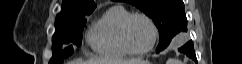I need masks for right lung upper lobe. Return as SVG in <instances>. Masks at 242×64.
I'll return each instance as SVG.
<instances>
[{
    "instance_id": "obj_1",
    "label": "right lung upper lobe",
    "mask_w": 242,
    "mask_h": 64,
    "mask_svg": "<svg viewBox=\"0 0 242 64\" xmlns=\"http://www.w3.org/2000/svg\"><path fill=\"white\" fill-rule=\"evenodd\" d=\"M96 4L93 0H64L61 12L55 22L70 21L80 16L92 13Z\"/></svg>"
}]
</instances>
